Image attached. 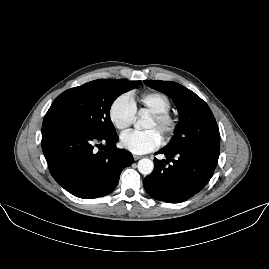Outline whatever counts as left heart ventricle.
<instances>
[{"label":"left heart ventricle","mask_w":269,"mask_h":269,"mask_svg":"<svg viewBox=\"0 0 269 269\" xmlns=\"http://www.w3.org/2000/svg\"><path fill=\"white\" fill-rule=\"evenodd\" d=\"M146 129L157 131L158 134L161 136L162 140H164L166 136V129L154 117L151 118Z\"/></svg>","instance_id":"b2bd125f"}]
</instances>
